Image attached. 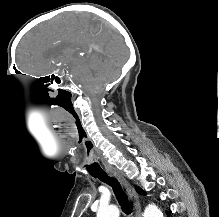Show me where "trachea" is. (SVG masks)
Segmentation results:
<instances>
[{"instance_id": "3493384b", "label": "trachea", "mask_w": 219, "mask_h": 217, "mask_svg": "<svg viewBox=\"0 0 219 217\" xmlns=\"http://www.w3.org/2000/svg\"><path fill=\"white\" fill-rule=\"evenodd\" d=\"M91 176L94 178H98L100 181L108 184L112 187L114 194L121 206L122 211L129 215L132 212V206L128 201L127 195L123 191L120 183L112 176L108 175L105 171H99L95 173H91Z\"/></svg>"}]
</instances>
